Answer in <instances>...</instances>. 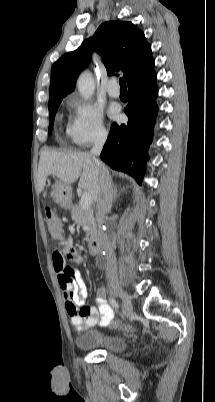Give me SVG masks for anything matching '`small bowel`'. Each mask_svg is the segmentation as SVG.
I'll use <instances>...</instances> for the list:
<instances>
[{
    "mask_svg": "<svg viewBox=\"0 0 215 402\" xmlns=\"http://www.w3.org/2000/svg\"><path fill=\"white\" fill-rule=\"evenodd\" d=\"M83 260V256L73 248L70 238H66V242L60 240L58 248L52 253L53 267L57 274L65 308L71 324L77 331L97 324L108 326L114 318V310L107 303L106 288L103 286L97 289V307L85 306L87 286L79 273L69 266V263L80 264Z\"/></svg>",
    "mask_w": 215,
    "mask_h": 402,
    "instance_id": "1",
    "label": "small bowel"
}]
</instances>
